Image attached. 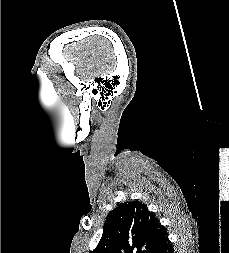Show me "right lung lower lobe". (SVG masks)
Returning <instances> with one entry per match:
<instances>
[{
	"label": "right lung lower lobe",
	"instance_id": "obj_1",
	"mask_svg": "<svg viewBox=\"0 0 229 253\" xmlns=\"http://www.w3.org/2000/svg\"><path fill=\"white\" fill-rule=\"evenodd\" d=\"M156 253H174V249L171 242L168 240L156 251Z\"/></svg>",
	"mask_w": 229,
	"mask_h": 253
}]
</instances>
